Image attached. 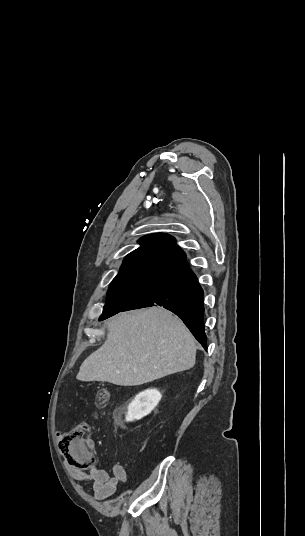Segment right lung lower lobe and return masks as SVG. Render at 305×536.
I'll return each mask as SVG.
<instances>
[{
    "label": "right lung lower lobe",
    "mask_w": 305,
    "mask_h": 536,
    "mask_svg": "<svg viewBox=\"0 0 305 536\" xmlns=\"http://www.w3.org/2000/svg\"><path fill=\"white\" fill-rule=\"evenodd\" d=\"M203 295L196 275L190 268H187L165 277L154 288L121 311L150 307L156 304L163 306L178 315L195 338L207 349L203 321ZM108 317L111 316H106L102 320Z\"/></svg>",
    "instance_id": "98d812e1"
}]
</instances>
